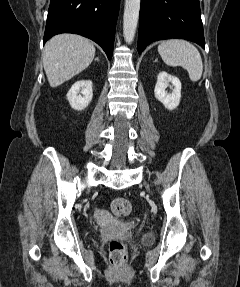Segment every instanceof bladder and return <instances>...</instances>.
Segmentation results:
<instances>
[{
	"mask_svg": "<svg viewBox=\"0 0 240 287\" xmlns=\"http://www.w3.org/2000/svg\"><path fill=\"white\" fill-rule=\"evenodd\" d=\"M143 239H144V241H146V242L150 241V240H151V234H150L149 232H145V233L143 234Z\"/></svg>",
	"mask_w": 240,
	"mask_h": 287,
	"instance_id": "1",
	"label": "bladder"
}]
</instances>
